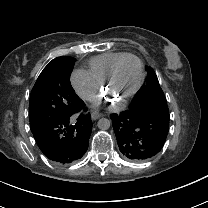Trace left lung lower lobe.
Wrapping results in <instances>:
<instances>
[{
    "instance_id": "obj_1",
    "label": "left lung lower lobe",
    "mask_w": 208,
    "mask_h": 208,
    "mask_svg": "<svg viewBox=\"0 0 208 208\" xmlns=\"http://www.w3.org/2000/svg\"><path fill=\"white\" fill-rule=\"evenodd\" d=\"M110 118L119 150L128 160L146 161L162 149L168 134L169 119L132 109L111 114Z\"/></svg>"
}]
</instances>
